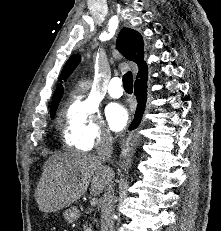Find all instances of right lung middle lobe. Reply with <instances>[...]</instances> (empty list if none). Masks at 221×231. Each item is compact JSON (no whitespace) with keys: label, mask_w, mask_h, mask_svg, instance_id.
Returning a JSON list of instances; mask_svg holds the SVG:
<instances>
[{"label":"right lung middle lobe","mask_w":221,"mask_h":231,"mask_svg":"<svg viewBox=\"0 0 221 231\" xmlns=\"http://www.w3.org/2000/svg\"><path fill=\"white\" fill-rule=\"evenodd\" d=\"M57 106H58V104H56L55 106H53V107L51 108V110H50V116H51V118L54 117L55 111H56V109H57Z\"/></svg>","instance_id":"dd1d6c3e"}]
</instances>
